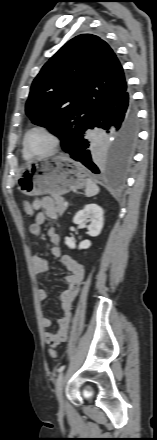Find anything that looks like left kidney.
<instances>
[{"mask_svg": "<svg viewBox=\"0 0 157 440\" xmlns=\"http://www.w3.org/2000/svg\"><path fill=\"white\" fill-rule=\"evenodd\" d=\"M90 221V225L88 226V234L91 237H96L101 233L103 228V210L97 204H88L80 210L73 218L74 224H84L87 221ZM65 244L70 249H75L76 244L72 238L66 237ZM91 246V242L89 240L82 241L78 249H88Z\"/></svg>", "mask_w": 157, "mask_h": 440, "instance_id": "1", "label": "left kidney"}]
</instances>
